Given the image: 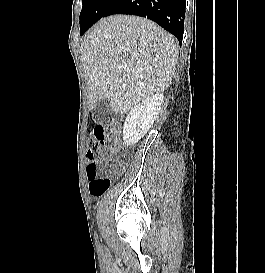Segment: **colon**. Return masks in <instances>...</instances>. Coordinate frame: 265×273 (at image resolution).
I'll use <instances>...</instances> for the list:
<instances>
[{
	"instance_id": "colon-1",
	"label": "colon",
	"mask_w": 265,
	"mask_h": 273,
	"mask_svg": "<svg viewBox=\"0 0 265 273\" xmlns=\"http://www.w3.org/2000/svg\"><path fill=\"white\" fill-rule=\"evenodd\" d=\"M118 132L119 125L116 122L100 124L94 128V140L92 141L88 151V157L91 160V164L87 165L86 172L90 181L89 190L95 197L102 196L110 187L111 181L109 178L96 177L99 170L97 161L107 152L116 153L118 151ZM127 164V156H120L117 166L124 168Z\"/></svg>"
}]
</instances>
